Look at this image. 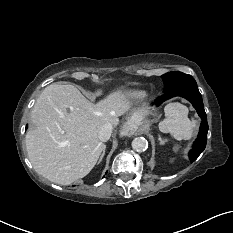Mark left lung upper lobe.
<instances>
[{"instance_id":"5c2ea615","label":"left lung upper lobe","mask_w":233,"mask_h":233,"mask_svg":"<svg viewBox=\"0 0 233 233\" xmlns=\"http://www.w3.org/2000/svg\"><path fill=\"white\" fill-rule=\"evenodd\" d=\"M161 77L165 84L164 93L183 84H197L191 75L179 71L168 72L166 74H163Z\"/></svg>"}]
</instances>
